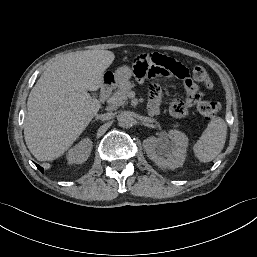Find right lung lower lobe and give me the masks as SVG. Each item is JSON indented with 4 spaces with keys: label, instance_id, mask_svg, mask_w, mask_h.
Here are the masks:
<instances>
[{
    "label": "right lung lower lobe",
    "instance_id": "1",
    "mask_svg": "<svg viewBox=\"0 0 257 257\" xmlns=\"http://www.w3.org/2000/svg\"><path fill=\"white\" fill-rule=\"evenodd\" d=\"M36 166H37V168H38L41 172H43V168H42V167H40V166L37 165V164H36Z\"/></svg>",
    "mask_w": 257,
    "mask_h": 257
}]
</instances>
